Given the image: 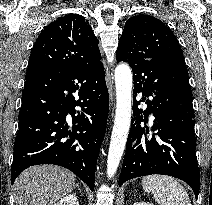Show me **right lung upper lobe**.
Listing matches in <instances>:
<instances>
[{"label":"right lung upper lobe","mask_w":212,"mask_h":205,"mask_svg":"<svg viewBox=\"0 0 212 205\" xmlns=\"http://www.w3.org/2000/svg\"><path fill=\"white\" fill-rule=\"evenodd\" d=\"M98 39L88 21L67 14L47 25L31 52L25 79L46 72L101 67Z\"/></svg>","instance_id":"obj_1"}]
</instances>
